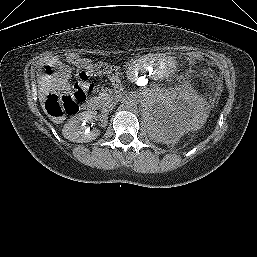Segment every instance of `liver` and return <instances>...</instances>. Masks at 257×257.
I'll list each match as a JSON object with an SVG mask.
<instances>
[{"label":"liver","mask_w":257,"mask_h":257,"mask_svg":"<svg viewBox=\"0 0 257 257\" xmlns=\"http://www.w3.org/2000/svg\"><path fill=\"white\" fill-rule=\"evenodd\" d=\"M54 80L53 76L39 75L37 79L38 87H39V95L40 100H44L46 94L50 91V89L54 88ZM55 123H58V119H52Z\"/></svg>","instance_id":"obj_1"}]
</instances>
